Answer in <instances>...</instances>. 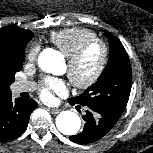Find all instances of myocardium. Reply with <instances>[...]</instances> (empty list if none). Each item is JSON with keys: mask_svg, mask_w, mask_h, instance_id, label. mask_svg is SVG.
Listing matches in <instances>:
<instances>
[{"mask_svg": "<svg viewBox=\"0 0 153 153\" xmlns=\"http://www.w3.org/2000/svg\"><path fill=\"white\" fill-rule=\"evenodd\" d=\"M94 45H99L101 48V59L94 73L85 80H80L75 75V68L86 51ZM109 46L106 41L95 37L83 42L72 54L67 57V76L72 85L81 90H86L98 82L103 75L109 61Z\"/></svg>", "mask_w": 153, "mask_h": 153, "instance_id": "obj_1", "label": "myocardium"}]
</instances>
